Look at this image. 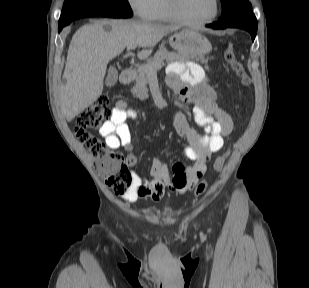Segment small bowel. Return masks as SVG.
Here are the masks:
<instances>
[{
    "instance_id": "obj_1",
    "label": "small bowel",
    "mask_w": 309,
    "mask_h": 288,
    "mask_svg": "<svg viewBox=\"0 0 309 288\" xmlns=\"http://www.w3.org/2000/svg\"><path fill=\"white\" fill-rule=\"evenodd\" d=\"M168 85L178 96L192 105L194 119L203 127L205 134H198L190 125L184 113L176 112L174 127L177 133L186 140L185 156L192 162L184 166L176 162L171 168L158 159L152 163V180H146L133 173L130 190L122 195L128 202L139 198L159 200L163 197L166 185L170 182L173 190L185 193L193 190L206 171V164L211 155L220 151L224 138L233 129L231 117L216 102L215 92L207 82L202 67L196 62H175L171 64L167 78ZM137 117L124 100H118L109 120L99 129V135L108 147L123 148L127 151L126 162L132 166L136 161L133 153L132 136L127 119Z\"/></svg>"
}]
</instances>
